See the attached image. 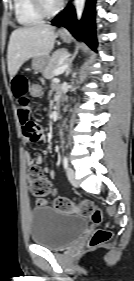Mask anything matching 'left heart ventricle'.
Masks as SVG:
<instances>
[{
    "instance_id": "b2bd125f",
    "label": "left heart ventricle",
    "mask_w": 134,
    "mask_h": 281,
    "mask_svg": "<svg viewBox=\"0 0 134 281\" xmlns=\"http://www.w3.org/2000/svg\"><path fill=\"white\" fill-rule=\"evenodd\" d=\"M47 5L53 7L57 4L58 0H45Z\"/></svg>"
}]
</instances>
